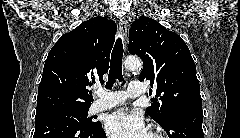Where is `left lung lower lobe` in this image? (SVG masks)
I'll use <instances>...</instances> for the list:
<instances>
[{
	"mask_svg": "<svg viewBox=\"0 0 240 138\" xmlns=\"http://www.w3.org/2000/svg\"><path fill=\"white\" fill-rule=\"evenodd\" d=\"M202 107H189L171 115L164 130L169 138H204Z\"/></svg>",
	"mask_w": 240,
	"mask_h": 138,
	"instance_id": "1",
	"label": "left lung lower lobe"
}]
</instances>
